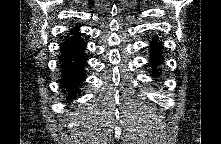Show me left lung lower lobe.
<instances>
[{"label":"left lung lower lobe","mask_w":221,"mask_h":144,"mask_svg":"<svg viewBox=\"0 0 221 144\" xmlns=\"http://www.w3.org/2000/svg\"><path fill=\"white\" fill-rule=\"evenodd\" d=\"M151 51H150V60H151V65L153 68V71L155 73V76L159 75V72H157V67L158 65H160L161 63H163V57H162V46L160 43H158V40H152L151 42Z\"/></svg>","instance_id":"0a47b994"}]
</instances>
